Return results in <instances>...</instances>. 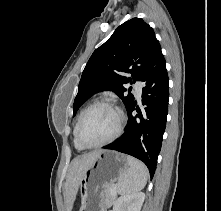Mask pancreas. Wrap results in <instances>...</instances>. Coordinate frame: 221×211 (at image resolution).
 <instances>
[{
	"label": "pancreas",
	"instance_id": "cf45deb5",
	"mask_svg": "<svg viewBox=\"0 0 221 211\" xmlns=\"http://www.w3.org/2000/svg\"><path fill=\"white\" fill-rule=\"evenodd\" d=\"M115 187V185L112 183L108 186H106L104 196L102 199V202L105 204V206H110L114 203V200L116 198V194H112L111 190Z\"/></svg>",
	"mask_w": 221,
	"mask_h": 211
}]
</instances>
